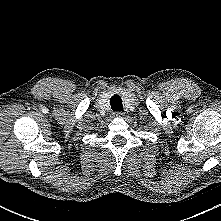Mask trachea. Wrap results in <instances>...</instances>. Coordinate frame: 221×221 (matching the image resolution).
<instances>
[{
  "label": "trachea",
  "mask_w": 221,
  "mask_h": 221,
  "mask_svg": "<svg viewBox=\"0 0 221 221\" xmlns=\"http://www.w3.org/2000/svg\"><path fill=\"white\" fill-rule=\"evenodd\" d=\"M110 105L113 111H122V99L119 95H113L110 99Z\"/></svg>",
  "instance_id": "obj_1"
}]
</instances>
